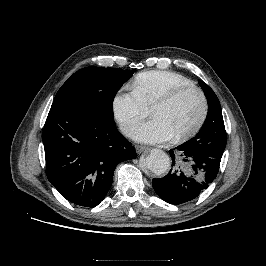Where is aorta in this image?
<instances>
[{"label":"aorta","instance_id":"762f6f07","mask_svg":"<svg viewBox=\"0 0 266 266\" xmlns=\"http://www.w3.org/2000/svg\"><path fill=\"white\" fill-rule=\"evenodd\" d=\"M146 167L156 175L164 174L170 167L168 155L160 150L153 149L145 160Z\"/></svg>","mask_w":266,"mask_h":266}]
</instances>
